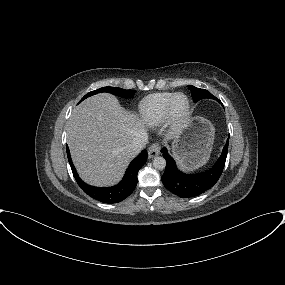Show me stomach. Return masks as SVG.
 Here are the masks:
<instances>
[{
  "mask_svg": "<svg viewBox=\"0 0 285 285\" xmlns=\"http://www.w3.org/2000/svg\"><path fill=\"white\" fill-rule=\"evenodd\" d=\"M215 129L203 117H195L180 132L172 144V152L180 166L194 170L203 166L209 159L214 141Z\"/></svg>",
  "mask_w": 285,
  "mask_h": 285,
  "instance_id": "0dacf381",
  "label": "stomach"
}]
</instances>
